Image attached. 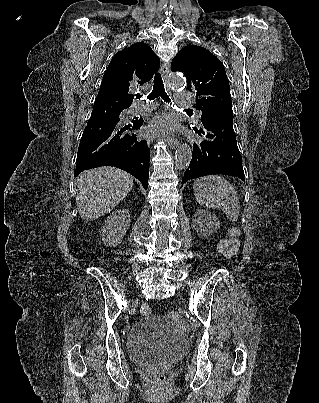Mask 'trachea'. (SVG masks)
<instances>
[{
    "instance_id": "1",
    "label": "trachea",
    "mask_w": 319,
    "mask_h": 403,
    "mask_svg": "<svg viewBox=\"0 0 319 403\" xmlns=\"http://www.w3.org/2000/svg\"><path fill=\"white\" fill-rule=\"evenodd\" d=\"M142 95L136 94V98L140 99ZM157 97H161L164 101L170 102L169 96L165 92L163 80L161 78V75L157 73L154 77V85H153V90L152 92L148 95L149 100H153Z\"/></svg>"
}]
</instances>
